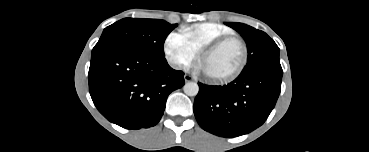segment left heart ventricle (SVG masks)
Here are the masks:
<instances>
[{"mask_svg": "<svg viewBox=\"0 0 369 152\" xmlns=\"http://www.w3.org/2000/svg\"><path fill=\"white\" fill-rule=\"evenodd\" d=\"M242 60V48L237 41H230L207 54L201 61L203 72L212 77L225 76L233 72Z\"/></svg>", "mask_w": 369, "mask_h": 152, "instance_id": "obj_1", "label": "left heart ventricle"}]
</instances>
